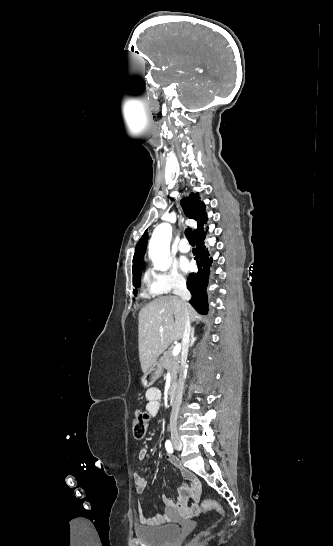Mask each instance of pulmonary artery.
<instances>
[{
  "label": "pulmonary artery",
  "instance_id": "e3ab8cb5",
  "mask_svg": "<svg viewBox=\"0 0 333 546\" xmlns=\"http://www.w3.org/2000/svg\"><path fill=\"white\" fill-rule=\"evenodd\" d=\"M178 250L181 253H187L190 250V246L188 245V242L186 239H182L178 244Z\"/></svg>",
  "mask_w": 333,
  "mask_h": 546
}]
</instances>
